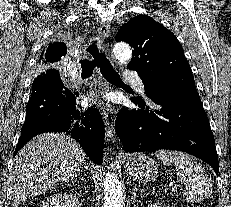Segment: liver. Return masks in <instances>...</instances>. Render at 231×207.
Returning <instances> with one entry per match:
<instances>
[{"label":"liver","mask_w":231,"mask_h":207,"mask_svg":"<svg viewBox=\"0 0 231 207\" xmlns=\"http://www.w3.org/2000/svg\"><path fill=\"white\" fill-rule=\"evenodd\" d=\"M84 158L83 149L69 135L34 137L19 151L9 177L13 207L74 176Z\"/></svg>","instance_id":"liver-1"}]
</instances>
